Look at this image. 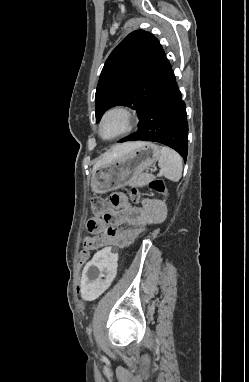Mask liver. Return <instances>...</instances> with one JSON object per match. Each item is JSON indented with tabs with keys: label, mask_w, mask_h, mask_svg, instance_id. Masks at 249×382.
Segmentation results:
<instances>
[{
	"label": "liver",
	"mask_w": 249,
	"mask_h": 382,
	"mask_svg": "<svg viewBox=\"0 0 249 382\" xmlns=\"http://www.w3.org/2000/svg\"><path fill=\"white\" fill-rule=\"evenodd\" d=\"M142 142H133V143H123L115 145L112 150L108 153H105L101 159H99L95 165L93 166V172L102 167L110 164L115 158L119 157L120 155L127 153L128 151L134 149L135 147L141 145Z\"/></svg>",
	"instance_id": "6515ba94"
}]
</instances>
